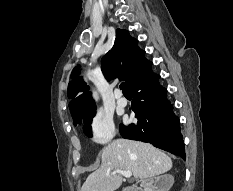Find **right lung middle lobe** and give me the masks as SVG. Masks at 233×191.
<instances>
[{
	"label": "right lung middle lobe",
	"mask_w": 233,
	"mask_h": 191,
	"mask_svg": "<svg viewBox=\"0 0 233 191\" xmlns=\"http://www.w3.org/2000/svg\"><path fill=\"white\" fill-rule=\"evenodd\" d=\"M95 116V109L87 110L84 112H81L73 117V123L74 125L81 124L82 122L85 123L83 126L84 132L87 136H91V128L89 124L92 122V117Z\"/></svg>",
	"instance_id": "1"
}]
</instances>
